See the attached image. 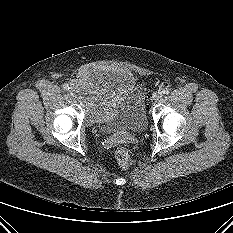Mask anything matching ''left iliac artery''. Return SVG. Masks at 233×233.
<instances>
[{"mask_svg":"<svg viewBox=\"0 0 233 233\" xmlns=\"http://www.w3.org/2000/svg\"><path fill=\"white\" fill-rule=\"evenodd\" d=\"M163 94H168L169 93V89L168 88H164L163 91H162Z\"/></svg>","mask_w":233,"mask_h":233,"instance_id":"1","label":"left iliac artery"}]
</instances>
